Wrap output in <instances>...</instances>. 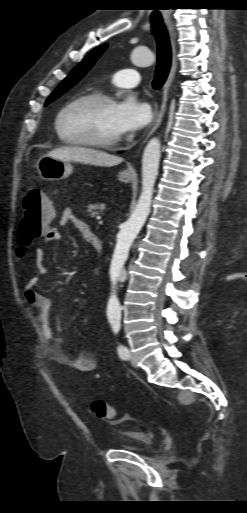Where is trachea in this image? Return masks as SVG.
Returning a JSON list of instances; mask_svg holds the SVG:
<instances>
[{"instance_id": "obj_1", "label": "trachea", "mask_w": 247, "mask_h": 513, "mask_svg": "<svg viewBox=\"0 0 247 513\" xmlns=\"http://www.w3.org/2000/svg\"><path fill=\"white\" fill-rule=\"evenodd\" d=\"M152 30L157 41V66L153 88L159 89L167 79L171 68L172 54L169 35L162 19L151 18Z\"/></svg>"}]
</instances>
